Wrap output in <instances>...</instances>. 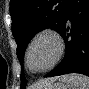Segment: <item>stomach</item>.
Wrapping results in <instances>:
<instances>
[{"label": "stomach", "mask_w": 89, "mask_h": 89, "mask_svg": "<svg viewBox=\"0 0 89 89\" xmlns=\"http://www.w3.org/2000/svg\"><path fill=\"white\" fill-rule=\"evenodd\" d=\"M47 89H67V86L63 82L54 83Z\"/></svg>", "instance_id": "stomach-1"}]
</instances>
